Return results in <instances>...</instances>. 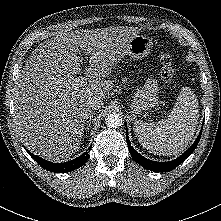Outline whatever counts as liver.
Returning <instances> with one entry per match:
<instances>
[{"mask_svg": "<svg viewBox=\"0 0 221 221\" xmlns=\"http://www.w3.org/2000/svg\"><path fill=\"white\" fill-rule=\"evenodd\" d=\"M141 29L109 27L63 32L32 51L15 89L14 124L31 152L62 161L79 148L89 114L86 103L104 100L113 83L105 79L127 43ZM78 47L86 55L88 83L77 82L82 71ZM71 82L68 86L65 83Z\"/></svg>", "mask_w": 221, "mask_h": 221, "instance_id": "1", "label": "liver"}]
</instances>
